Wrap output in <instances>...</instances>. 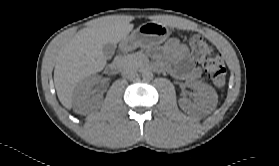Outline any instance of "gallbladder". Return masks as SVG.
I'll use <instances>...</instances> for the list:
<instances>
[{"label":"gallbladder","mask_w":279,"mask_h":166,"mask_svg":"<svg viewBox=\"0 0 279 166\" xmlns=\"http://www.w3.org/2000/svg\"><path fill=\"white\" fill-rule=\"evenodd\" d=\"M116 44L114 43H106L103 45L102 52L106 59H111L115 53Z\"/></svg>","instance_id":"bac80fb5"}]
</instances>
